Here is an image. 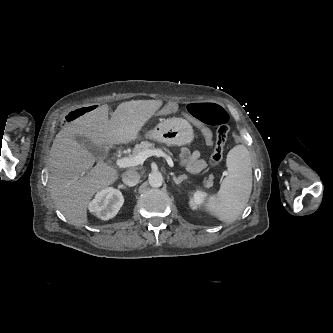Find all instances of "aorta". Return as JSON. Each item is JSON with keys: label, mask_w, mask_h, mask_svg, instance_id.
I'll list each match as a JSON object with an SVG mask.
<instances>
[{"label": "aorta", "mask_w": 333, "mask_h": 333, "mask_svg": "<svg viewBox=\"0 0 333 333\" xmlns=\"http://www.w3.org/2000/svg\"><path fill=\"white\" fill-rule=\"evenodd\" d=\"M148 181L152 187L158 188L162 186L163 176L160 172L154 171L149 174Z\"/></svg>", "instance_id": "aorta-1"}]
</instances>
